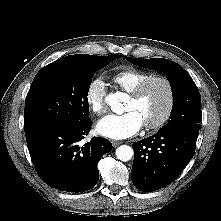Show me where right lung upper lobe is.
<instances>
[{"label":"right lung upper lobe","instance_id":"1","mask_svg":"<svg viewBox=\"0 0 221 221\" xmlns=\"http://www.w3.org/2000/svg\"><path fill=\"white\" fill-rule=\"evenodd\" d=\"M78 55H87V54H78Z\"/></svg>","mask_w":221,"mask_h":221}]
</instances>
